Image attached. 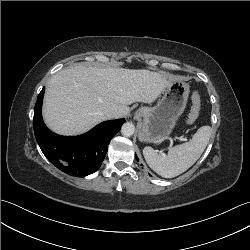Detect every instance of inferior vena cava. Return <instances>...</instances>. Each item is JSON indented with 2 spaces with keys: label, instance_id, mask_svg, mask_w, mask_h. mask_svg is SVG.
Masks as SVG:
<instances>
[{
  "label": "inferior vena cava",
  "instance_id": "inferior-vena-cava-1",
  "mask_svg": "<svg viewBox=\"0 0 250 250\" xmlns=\"http://www.w3.org/2000/svg\"><path fill=\"white\" fill-rule=\"evenodd\" d=\"M106 116L108 119H115V118H118V113L115 112V111H109L106 113Z\"/></svg>",
  "mask_w": 250,
  "mask_h": 250
}]
</instances>
